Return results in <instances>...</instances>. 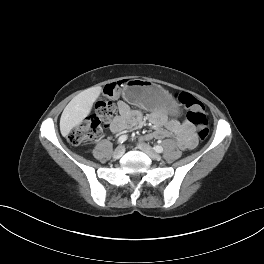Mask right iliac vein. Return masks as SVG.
Wrapping results in <instances>:
<instances>
[{"instance_id": "1", "label": "right iliac vein", "mask_w": 264, "mask_h": 264, "mask_svg": "<svg viewBox=\"0 0 264 264\" xmlns=\"http://www.w3.org/2000/svg\"><path fill=\"white\" fill-rule=\"evenodd\" d=\"M125 152V147L123 145L118 146L113 152V158L119 159Z\"/></svg>"}]
</instances>
